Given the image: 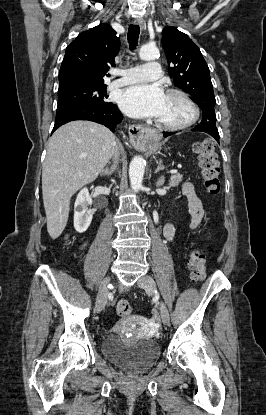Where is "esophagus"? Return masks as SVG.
<instances>
[{
  "label": "esophagus",
  "instance_id": "34e87169",
  "mask_svg": "<svg viewBox=\"0 0 266 415\" xmlns=\"http://www.w3.org/2000/svg\"><path fill=\"white\" fill-rule=\"evenodd\" d=\"M135 25H139L143 30L145 28V22L142 18H137L134 20ZM149 129L143 125H132L129 128V138L130 142L134 146H141L146 142V133Z\"/></svg>",
  "mask_w": 266,
  "mask_h": 415
}]
</instances>
